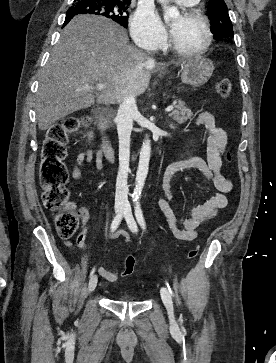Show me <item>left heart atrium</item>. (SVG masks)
<instances>
[{
	"label": "left heart atrium",
	"mask_w": 276,
	"mask_h": 363,
	"mask_svg": "<svg viewBox=\"0 0 276 363\" xmlns=\"http://www.w3.org/2000/svg\"><path fill=\"white\" fill-rule=\"evenodd\" d=\"M174 32V28H172V33Z\"/></svg>",
	"instance_id": "1"
}]
</instances>
